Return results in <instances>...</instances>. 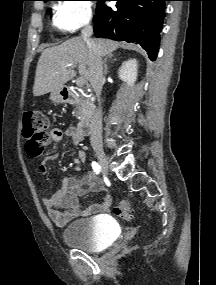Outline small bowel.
Returning a JSON list of instances; mask_svg holds the SVG:
<instances>
[{"label": "small bowel", "instance_id": "small-bowel-1", "mask_svg": "<svg viewBox=\"0 0 216 285\" xmlns=\"http://www.w3.org/2000/svg\"><path fill=\"white\" fill-rule=\"evenodd\" d=\"M64 136L70 138L75 145H80L84 136L78 128L69 127L65 131L54 128L50 131L47 141L56 143ZM54 160L50 157L40 165V171L46 173L47 162ZM86 160V152L78 149L75 163L79 165ZM78 167H76V170ZM85 186H89L93 191H100L99 181L91 173L76 175L74 177H64L61 181L60 189L50 197H44L42 202L47 210L49 218L59 227H63L78 216H89L98 212L106 211L111 205V197L105 195L99 204L82 207L80 196Z\"/></svg>", "mask_w": 216, "mask_h": 285}]
</instances>
